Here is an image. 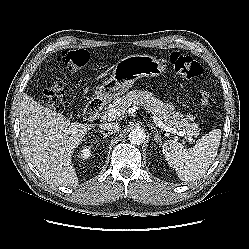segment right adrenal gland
Wrapping results in <instances>:
<instances>
[{
  "label": "right adrenal gland",
  "instance_id": "1",
  "mask_svg": "<svg viewBox=\"0 0 249 249\" xmlns=\"http://www.w3.org/2000/svg\"><path fill=\"white\" fill-rule=\"evenodd\" d=\"M97 132H99L100 134L103 135V138H106L108 135H112V132H104V131H101V130H96Z\"/></svg>",
  "mask_w": 249,
  "mask_h": 249
}]
</instances>
